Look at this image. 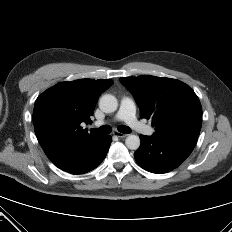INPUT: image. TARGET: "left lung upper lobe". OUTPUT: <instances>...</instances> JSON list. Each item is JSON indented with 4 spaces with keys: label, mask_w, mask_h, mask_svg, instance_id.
<instances>
[{
    "label": "left lung upper lobe",
    "mask_w": 232,
    "mask_h": 232,
    "mask_svg": "<svg viewBox=\"0 0 232 232\" xmlns=\"http://www.w3.org/2000/svg\"><path fill=\"white\" fill-rule=\"evenodd\" d=\"M121 83L133 94L142 118H152L157 136H199L202 107L195 92L171 78L142 75L122 77Z\"/></svg>",
    "instance_id": "left-lung-upper-lobe-1"
}]
</instances>
